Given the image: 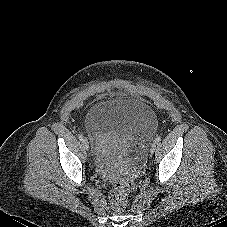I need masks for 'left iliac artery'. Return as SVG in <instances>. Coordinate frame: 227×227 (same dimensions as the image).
I'll list each match as a JSON object with an SVG mask.
<instances>
[{"mask_svg": "<svg viewBox=\"0 0 227 227\" xmlns=\"http://www.w3.org/2000/svg\"><path fill=\"white\" fill-rule=\"evenodd\" d=\"M157 142H159V141H161V137L160 136H158V137H156V139H155Z\"/></svg>", "mask_w": 227, "mask_h": 227, "instance_id": "obj_1", "label": "left iliac artery"}]
</instances>
